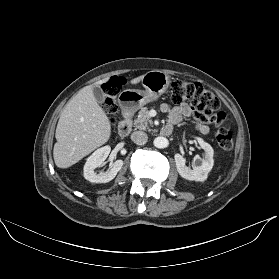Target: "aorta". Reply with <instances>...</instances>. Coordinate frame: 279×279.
<instances>
[{"instance_id":"obj_1","label":"aorta","mask_w":279,"mask_h":279,"mask_svg":"<svg viewBox=\"0 0 279 279\" xmlns=\"http://www.w3.org/2000/svg\"><path fill=\"white\" fill-rule=\"evenodd\" d=\"M153 143L156 148H166L169 145V141L165 137H156Z\"/></svg>"}]
</instances>
